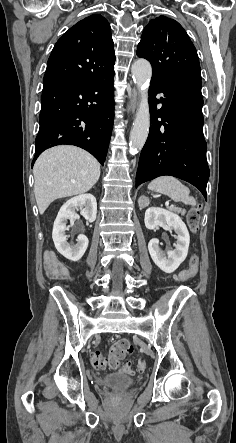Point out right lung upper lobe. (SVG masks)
<instances>
[{"instance_id":"cb5924a9","label":"right lung upper lobe","mask_w":236,"mask_h":443,"mask_svg":"<svg viewBox=\"0 0 236 443\" xmlns=\"http://www.w3.org/2000/svg\"><path fill=\"white\" fill-rule=\"evenodd\" d=\"M115 53L108 21L94 14L72 26L55 44L44 84L91 80L114 71Z\"/></svg>"}]
</instances>
